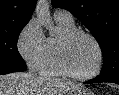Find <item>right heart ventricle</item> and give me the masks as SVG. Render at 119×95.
Segmentation results:
<instances>
[{
  "instance_id": "right-heart-ventricle-1",
  "label": "right heart ventricle",
  "mask_w": 119,
  "mask_h": 95,
  "mask_svg": "<svg viewBox=\"0 0 119 95\" xmlns=\"http://www.w3.org/2000/svg\"><path fill=\"white\" fill-rule=\"evenodd\" d=\"M56 23L59 29L61 30V34L75 28L74 22L66 23L56 20ZM59 38L54 37L47 38L46 55L42 67L40 68L41 73L45 76L64 75L57 63V44Z\"/></svg>"
}]
</instances>
